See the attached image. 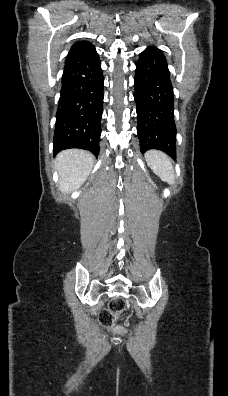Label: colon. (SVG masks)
<instances>
[{"label":"colon","mask_w":228,"mask_h":396,"mask_svg":"<svg viewBox=\"0 0 228 396\" xmlns=\"http://www.w3.org/2000/svg\"><path fill=\"white\" fill-rule=\"evenodd\" d=\"M125 309V302L121 298H113L108 305V309L104 310L99 315V322L105 328H114L116 331L121 332V326H115L116 315L122 313Z\"/></svg>","instance_id":"colon-1"}]
</instances>
